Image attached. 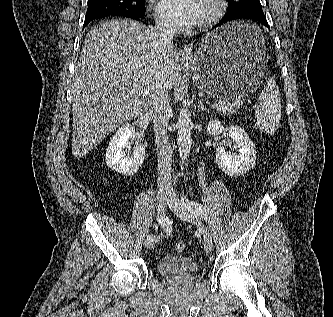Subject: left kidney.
Listing matches in <instances>:
<instances>
[{
  "instance_id": "left-kidney-1",
  "label": "left kidney",
  "mask_w": 333,
  "mask_h": 317,
  "mask_svg": "<svg viewBox=\"0 0 333 317\" xmlns=\"http://www.w3.org/2000/svg\"><path fill=\"white\" fill-rule=\"evenodd\" d=\"M225 128L223 122L212 120L207 125V131L211 135H220ZM230 138L238 145L240 154H228L223 147L216 149V161L219 168L229 176H242L248 172L256 163L255 145L245 132L238 125H231L228 128Z\"/></svg>"
}]
</instances>
